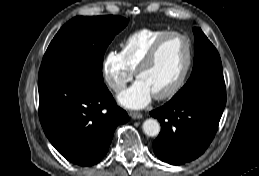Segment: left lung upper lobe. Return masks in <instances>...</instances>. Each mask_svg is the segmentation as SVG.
Returning <instances> with one entry per match:
<instances>
[{
	"mask_svg": "<svg viewBox=\"0 0 259 176\" xmlns=\"http://www.w3.org/2000/svg\"><path fill=\"white\" fill-rule=\"evenodd\" d=\"M193 33L195 38L193 70L187 83L174 97L207 86L225 89L222 64L218 51L200 28H193Z\"/></svg>",
	"mask_w": 259,
	"mask_h": 176,
	"instance_id": "5c2ea615",
	"label": "left lung upper lobe"
}]
</instances>
